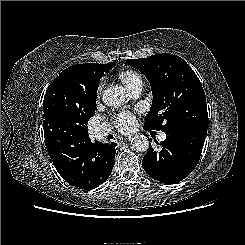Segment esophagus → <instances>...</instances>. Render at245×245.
I'll return each mask as SVG.
<instances>
[{
  "mask_svg": "<svg viewBox=\"0 0 245 245\" xmlns=\"http://www.w3.org/2000/svg\"><path fill=\"white\" fill-rule=\"evenodd\" d=\"M132 139L131 136H129L128 138H124V140L127 142V141H130Z\"/></svg>",
  "mask_w": 245,
  "mask_h": 245,
  "instance_id": "34e87169",
  "label": "esophagus"
}]
</instances>
